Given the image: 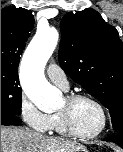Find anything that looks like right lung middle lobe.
Listing matches in <instances>:
<instances>
[{
    "label": "right lung middle lobe",
    "instance_id": "dd1d6c3e",
    "mask_svg": "<svg viewBox=\"0 0 123 152\" xmlns=\"http://www.w3.org/2000/svg\"><path fill=\"white\" fill-rule=\"evenodd\" d=\"M21 99L18 73L1 70V114L21 115Z\"/></svg>",
    "mask_w": 123,
    "mask_h": 152
}]
</instances>
